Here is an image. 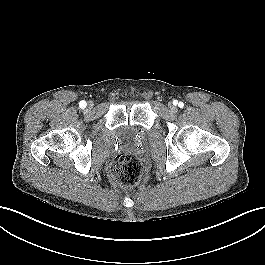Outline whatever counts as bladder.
I'll use <instances>...</instances> for the list:
<instances>
[{
  "label": "bladder",
  "instance_id": "1",
  "mask_svg": "<svg viewBox=\"0 0 265 265\" xmlns=\"http://www.w3.org/2000/svg\"><path fill=\"white\" fill-rule=\"evenodd\" d=\"M130 134V132H126V135H129Z\"/></svg>",
  "mask_w": 265,
  "mask_h": 265
}]
</instances>
